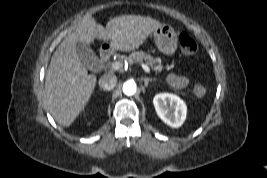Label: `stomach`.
Segmentation results:
<instances>
[{"instance_id": "0dacf381", "label": "stomach", "mask_w": 267, "mask_h": 178, "mask_svg": "<svg viewBox=\"0 0 267 178\" xmlns=\"http://www.w3.org/2000/svg\"><path fill=\"white\" fill-rule=\"evenodd\" d=\"M158 50L166 55H172L177 49V34L174 29L162 25L151 34Z\"/></svg>"}]
</instances>
